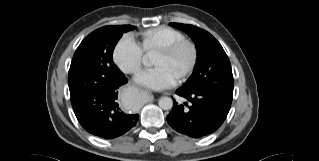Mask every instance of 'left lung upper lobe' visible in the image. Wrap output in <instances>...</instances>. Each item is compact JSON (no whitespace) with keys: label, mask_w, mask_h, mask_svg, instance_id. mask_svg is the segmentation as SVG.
Listing matches in <instances>:
<instances>
[{"label":"left lung upper lobe","mask_w":319,"mask_h":161,"mask_svg":"<svg viewBox=\"0 0 319 161\" xmlns=\"http://www.w3.org/2000/svg\"><path fill=\"white\" fill-rule=\"evenodd\" d=\"M170 25L188 34L197 49L193 73L180 88L202 90L232 102V69L221 44L209 32L196 26L180 23Z\"/></svg>","instance_id":"obj_1"}]
</instances>
